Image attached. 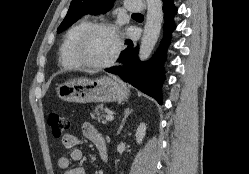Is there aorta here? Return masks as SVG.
I'll return each mask as SVG.
<instances>
[{
	"label": "aorta",
	"instance_id": "762f6f07",
	"mask_svg": "<svg viewBox=\"0 0 249 174\" xmlns=\"http://www.w3.org/2000/svg\"><path fill=\"white\" fill-rule=\"evenodd\" d=\"M147 15L139 48V59L145 61L151 55L160 35L163 22L162 0H146Z\"/></svg>",
	"mask_w": 249,
	"mask_h": 174
}]
</instances>
